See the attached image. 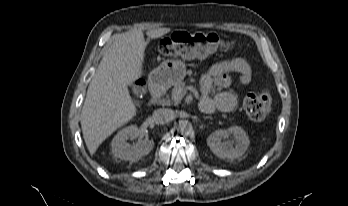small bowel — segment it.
Listing matches in <instances>:
<instances>
[{
  "instance_id": "1",
  "label": "small bowel",
  "mask_w": 348,
  "mask_h": 206,
  "mask_svg": "<svg viewBox=\"0 0 348 206\" xmlns=\"http://www.w3.org/2000/svg\"><path fill=\"white\" fill-rule=\"evenodd\" d=\"M251 74L249 63L241 57L224 58L210 66L201 78V110L205 113H212L216 108L224 112L232 111L236 106V95L225 90L233 84L232 75L238 76V84L246 85L251 80ZM214 88L223 90L211 97Z\"/></svg>"
}]
</instances>
